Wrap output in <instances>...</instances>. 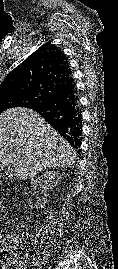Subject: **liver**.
I'll return each mask as SVG.
<instances>
[{
    "mask_svg": "<svg viewBox=\"0 0 118 269\" xmlns=\"http://www.w3.org/2000/svg\"><path fill=\"white\" fill-rule=\"evenodd\" d=\"M77 154L35 111L12 108L0 114V169L8 164L22 179L47 168L69 167Z\"/></svg>",
    "mask_w": 118,
    "mask_h": 269,
    "instance_id": "6515ba94",
    "label": "liver"
}]
</instances>
